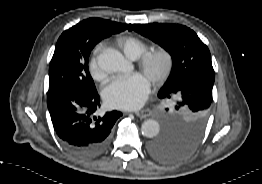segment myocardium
Wrapping results in <instances>:
<instances>
[{
	"label": "myocardium",
	"mask_w": 262,
	"mask_h": 184,
	"mask_svg": "<svg viewBox=\"0 0 262 184\" xmlns=\"http://www.w3.org/2000/svg\"><path fill=\"white\" fill-rule=\"evenodd\" d=\"M159 62L161 66L157 67ZM175 64L174 52L167 47L159 46L146 51L141 57L139 66L144 74L149 75L154 85H160L170 77Z\"/></svg>",
	"instance_id": "1"
}]
</instances>
